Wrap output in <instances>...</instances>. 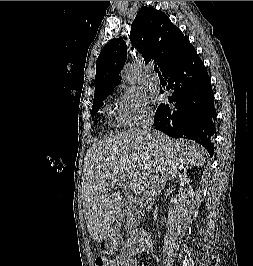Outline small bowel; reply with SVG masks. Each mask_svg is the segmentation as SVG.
<instances>
[{"label":"small bowel","instance_id":"obj_1","mask_svg":"<svg viewBox=\"0 0 253 266\" xmlns=\"http://www.w3.org/2000/svg\"><path fill=\"white\" fill-rule=\"evenodd\" d=\"M123 258H124V257H119V258H118V263H119L121 266H122V264H121V260H122ZM112 266H117V264H116V263H112ZM131 266H136V264L132 262Z\"/></svg>","mask_w":253,"mask_h":266}]
</instances>
